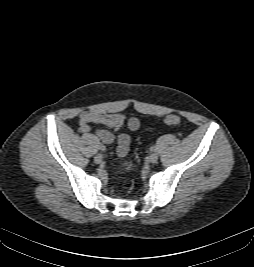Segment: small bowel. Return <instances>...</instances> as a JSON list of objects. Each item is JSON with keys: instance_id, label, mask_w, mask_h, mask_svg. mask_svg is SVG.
Instances as JSON below:
<instances>
[{"instance_id": "c3829d8e", "label": "small bowel", "mask_w": 254, "mask_h": 267, "mask_svg": "<svg viewBox=\"0 0 254 267\" xmlns=\"http://www.w3.org/2000/svg\"><path fill=\"white\" fill-rule=\"evenodd\" d=\"M126 122V117L121 113H97L93 111H84L78 116L79 130L82 133H88L91 129L90 124H101L114 130H119ZM130 131H137L140 127V121L136 117H131L126 122ZM98 138L106 145L111 146L114 141V135L105 129L96 132ZM131 137L128 133H122L118 136L115 153L119 157H124L130 147Z\"/></svg>"}]
</instances>
